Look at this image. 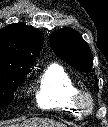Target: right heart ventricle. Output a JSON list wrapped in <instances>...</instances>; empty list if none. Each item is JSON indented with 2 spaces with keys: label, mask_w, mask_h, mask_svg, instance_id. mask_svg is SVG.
<instances>
[{
  "label": "right heart ventricle",
  "mask_w": 108,
  "mask_h": 127,
  "mask_svg": "<svg viewBox=\"0 0 108 127\" xmlns=\"http://www.w3.org/2000/svg\"><path fill=\"white\" fill-rule=\"evenodd\" d=\"M77 86L68 71L57 63L50 64L40 76L35 98L45 110L73 112Z\"/></svg>",
  "instance_id": "obj_1"
}]
</instances>
